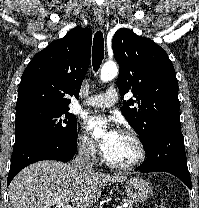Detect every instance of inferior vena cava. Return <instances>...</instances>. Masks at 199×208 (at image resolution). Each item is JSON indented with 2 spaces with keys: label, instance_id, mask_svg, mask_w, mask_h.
Returning <instances> with one entry per match:
<instances>
[{
  "label": "inferior vena cava",
  "instance_id": "1",
  "mask_svg": "<svg viewBox=\"0 0 199 208\" xmlns=\"http://www.w3.org/2000/svg\"><path fill=\"white\" fill-rule=\"evenodd\" d=\"M91 153V144L87 143V145H83L79 149V153L76 158L73 160L74 166L80 171L84 172H92L93 164L90 158Z\"/></svg>",
  "mask_w": 199,
  "mask_h": 208
}]
</instances>
